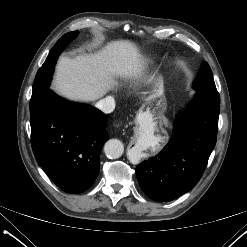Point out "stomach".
Segmentation results:
<instances>
[{
  "mask_svg": "<svg viewBox=\"0 0 247 247\" xmlns=\"http://www.w3.org/2000/svg\"><path fill=\"white\" fill-rule=\"evenodd\" d=\"M166 97L164 94H159L151 100H148L139 110L137 115V125H151L154 122L161 123L165 116Z\"/></svg>",
  "mask_w": 247,
  "mask_h": 247,
  "instance_id": "0dacf381",
  "label": "stomach"
}]
</instances>
